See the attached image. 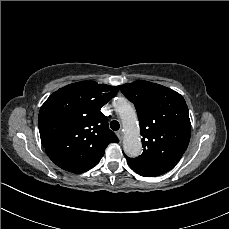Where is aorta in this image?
Masks as SVG:
<instances>
[{
    "label": "aorta",
    "instance_id": "762f6f07",
    "mask_svg": "<svg viewBox=\"0 0 229 229\" xmlns=\"http://www.w3.org/2000/svg\"><path fill=\"white\" fill-rule=\"evenodd\" d=\"M124 128L123 149L130 157H137L142 150L140 129L133 106L123 100L118 108Z\"/></svg>",
    "mask_w": 229,
    "mask_h": 229
}]
</instances>
